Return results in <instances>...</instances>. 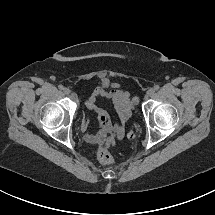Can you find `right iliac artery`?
Here are the masks:
<instances>
[{"label": "right iliac artery", "mask_w": 215, "mask_h": 215, "mask_svg": "<svg viewBox=\"0 0 215 215\" xmlns=\"http://www.w3.org/2000/svg\"><path fill=\"white\" fill-rule=\"evenodd\" d=\"M58 88H59L60 90H63V89H64L63 85H59Z\"/></svg>", "instance_id": "82829eb1"}]
</instances>
